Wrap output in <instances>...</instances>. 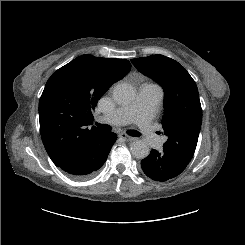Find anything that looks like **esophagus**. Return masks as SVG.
Wrapping results in <instances>:
<instances>
[{
	"label": "esophagus",
	"mask_w": 245,
	"mask_h": 245,
	"mask_svg": "<svg viewBox=\"0 0 245 245\" xmlns=\"http://www.w3.org/2000/svg\"><path fill=\"white\" fill-rule=\"evenodd\" d=\"M118 136H119L121 139L125 140V141H132V140H134L133 137H131V136L125 134V133H119Z\"/></svg>",
	"instance_id": "obj_1"
}]
</instances>
